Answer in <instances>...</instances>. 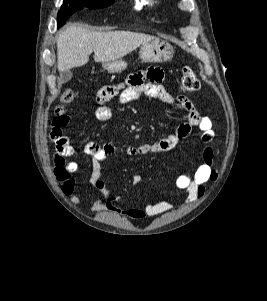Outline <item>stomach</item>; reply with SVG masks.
Instances as JSON below:
<instances>
[{
    "label": "stomach",
    "mask_w": 267,
    "mask_h": 301,
    "mask_svg": "<svg viewBox=\"0 0 267 301\" xmlns=\"http://www.w3.org/2000/svg\"><path fill=\"white\" fill-rule=\"evenodd\" d=\"M173 55V46L169 42L160 39L141 45L139 51V57L143 62L163 63L170 61ZM102 67L110 74L121 73L126 69L127 63L122 59H117L103 63Z\"/></svg>",
    "instance_id": "1"
}]
</instances>
